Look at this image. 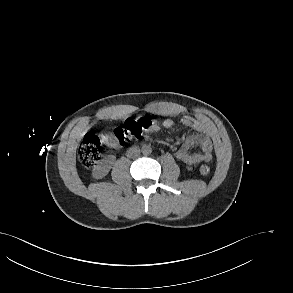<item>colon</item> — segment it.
Segmentation results:
<instances>
[{
  "label": "colon",
  "instance_id": "colon-1",
  "mask_svg": "<svg viewBox=\"0 0 293 293\" xmlns=\"http://www.w3.org/2000/svg\"><path fill=\"white\" fill-rule=\"evenodd\" d=\"M155 126L154 120L146 117L127 119L123 126L101 136L88 134L84 137L78 151L80 162L86 167H93L99 159L104 146L119 147L139 138L145 131ZM201 175H208L210 167L203 165L199 168Z\"/></svg>",
  "mask_w": 293,
  "mask_h": 293
}]
</instances>
